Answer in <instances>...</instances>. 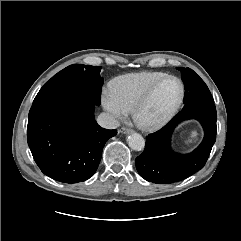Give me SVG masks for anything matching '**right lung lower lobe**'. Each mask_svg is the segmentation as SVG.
Returning a JSON list of instances; mask_svg holds the SVG:
<instances>
[{"mask_svg":"<svg viewBox=\"0 0 241 241\" xmlns=\"http://www.w3.org/2000/svg\"><path fill=\"white\" fill-rule=\"evenodd\" d=\"M94 108L80 97L31 107L27 141L45 175L69 184L94 175L106 141L117 134L96 123Z\"/></svg>","mask_w":241,"mask_h":241,"instance_id":"obj_1","label":"right lung lower lobe"}]
</instances>
